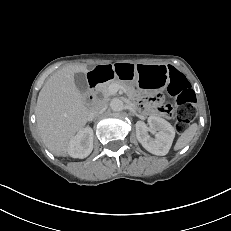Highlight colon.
<instances>
[{
  "label": "colon",
  "instance_id": "5ec220e1",
  "mask_svg": "<svg viewBox=\"0 0 231 231\" xmlns=\"http://www.w3.org/2000/svg\"><path fill=\"white\" fill-rule=\"evenodd\" d=\"M169 93L175 97L174 117L176 129L179 133H183L196 115V95L188 80L178 71L172 73ZM153 105L160 106L158 110L164 113L172 110L169 104L162 106L158 98H155Z\"/></svg>",
  "mask_w": 231,
  "mask_h": 231
}]
</instances>
